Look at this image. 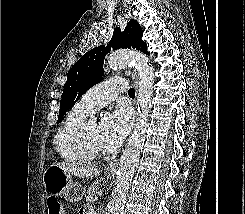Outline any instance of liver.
<instances>
[{
	"label": "liver",
	"mask_w": 245,
	"mask_h": 214,
	"mask_svg": "<svg viewBox=\"0 0 245 214\" xmlns=\"http://www.w3.org/2000/svg\"><path fill=\"white\" fill-rule=\"evenodd\" d=\"M55 166L60 167L65 172H68L72 175L81 178H93L99 175L100 173V170L96 167H92V166L79 167L73 163H68V162L58 163Z\"/></svg>",
	"instance_id": "1"
}]
</instances>
